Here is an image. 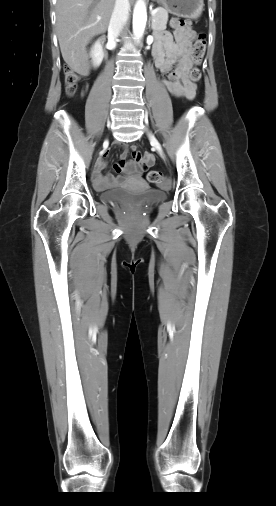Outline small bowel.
I'll use <instances>...</instances> for the list:
<instances>
[{
	"label": "small bowel",
	"mask_w": 276,
	"mask_h": 506,
	"mask_svg": "<svg viewBox=\"0 0 276 506\" xmlns=\"http://www.w3.org/2000/svg\"><path fill=\"white\" fill-rule=\"evenodd\" d=\"M194 33L191 30H175L174 39L168 34L159 35L153 47L155 65L163 74L168 77L162 81L164 87L174 96L191 100L195 97L196 86L188 78V71L191 67L189 51L192 45ZM177 63L172 71V65ZM132 160L127 161V152H123L115 170L121 175H103L105 161L99 160L96 165L94 178L95 185L100 188L123 184L129 179H138L141 173L154 163L151 154H145L142 158L136 146L131 148Z\"/></svg>",
	"instance_id": "small-bowel-1"
}]
</instances>
